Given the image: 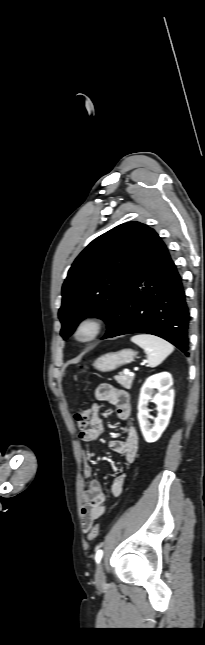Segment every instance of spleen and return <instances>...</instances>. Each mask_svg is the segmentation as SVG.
Masks as SVG:
<instances>
[{
  "label": "spleen",
  "instance_id": "spleen-1",
  "mask_svg": "<svg viewBox=\"0 0 205 645\" xmlns=\"http://www.w3.org/2000/svg\"><path fill=\"white\" fill-rule=\"evenodd\" d=\"M131 341L144 349L147 354L148 364L152 368L161 364L174 350V347L169 342L150 334L135 335L131 338Z\"/></svg>",
  "mask_w": 205,
  "mask_h": 645
}]
</instances>
